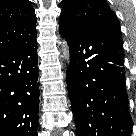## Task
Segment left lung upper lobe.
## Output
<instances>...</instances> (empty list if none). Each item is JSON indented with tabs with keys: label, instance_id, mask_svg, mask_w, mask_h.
Segmentation results:
<instances>
[{
	"label": "left lung upper lobe",
	"instance_id": "obj_1",
	"mask_svg": "<svg viewBox=\"0 0 136 136\" xmlns=\"http://www.w3.org/2000/svg\"><path fill=\"white\" fill-rule=\"evenodd\" d=\"M59 23L68 28L113 31L121 37L117 16L105 0H63Z\"/></svg>",
	"mask_w": 136,
	"mask_h": 136
}]
</instances>
